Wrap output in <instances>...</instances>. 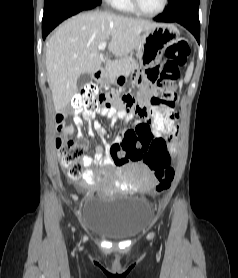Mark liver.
<instances>
[{
	"label": "liver",
	"mask_w": 238,
	"mask_h": 278,
	"mask_svg": "<svg viewBox=\"0 0 238 278\" xmlns=\"http://www.w3.org/2000/svg\"><path fill=\"white\" fill-rule=\"evenodd\" d=\"M156 25L101 11L81 13L62 23L46 45L47 81L55 110L60 112L77 93L81 74L100 69V43L110 41L109 52L126 57L140 45L142 33Z\"/></svg>",
	"instance_id": "6515ba94"
}]
</instances>
